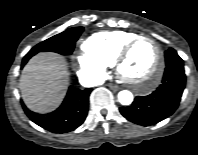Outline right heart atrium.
Segmentation results:
<instances>
[{"mask_svg":"<svg viewBox=\"0 0 198 155\" xmlns=\"http://www.w3.org/2000/svg\"><path fill=\"white\" fill-rule=\"evenodd\" d=\"M78 73L81 77L91 81H98L106 74V65L86 52L74 56Z\"/></svg>","mask_w":198,"mask_h":155,"instance_id":"obj_1","label":"right heart atrium"}]
</instances>
